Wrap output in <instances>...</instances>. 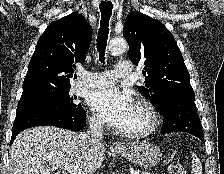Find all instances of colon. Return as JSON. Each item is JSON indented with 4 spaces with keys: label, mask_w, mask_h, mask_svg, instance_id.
Wrapping results in <instances>:
<instances>
[{
    "label": "colon",
    "mask_w": 224,
    "mask_h": 174,
    "mask_svg": "<svg viewBox=\"0 0 224 174\" xmlns=\"http://www.w3.org/2000/svg\"><path fill=\"white\" fill-rule=\"evenodd\" d=\"M168 173L169 174H187L185 168L182 166V164L178 162H171L168 165Z\"/></svg>",
    "instance_id": "obj_1"
}]
</instances>
